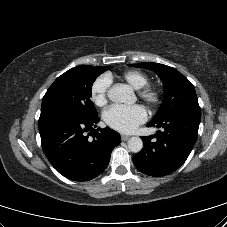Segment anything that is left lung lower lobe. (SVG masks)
<instances>
[{"label":"left lung lower lobe","mask_w":227,"mask_h":227,"mask_svg":"<svg viewBox=\"0 0 227 227\" xmlns=\"http://www.w3.org/2000/svg\"><path fill=\"white\" fill-rule=\"evenodd\" d=\"M200 119V111H182L163 120L151 121L148 127H162L164 131L142 137L144 149L133 157L136 168L154 177L165 176L177 170L194 146Z\"/></svg>","instance_id":"left-lung-lower-lobe-1"}]
</instances>
